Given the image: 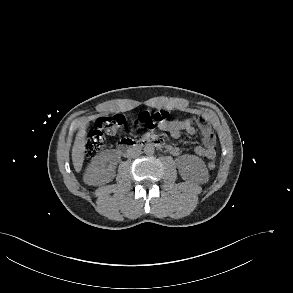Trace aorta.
I'll return each mask as SVG.
<instances>
[{"instance_id":"762f6f07","label":"aorta","mask_w":293,"mask_h":293,"mask_svg":"<svg viewBox=\"0 0 293 293\" xmlns=\"http://www.w3.org/2000/svg\"><path fill=\"white\" fill-rule=\"evenodd\" d=\"M155 152V148L153 145L151 144H147L145 147H144V153L146 155H153Z\"/></svg>"}]
</instances>
